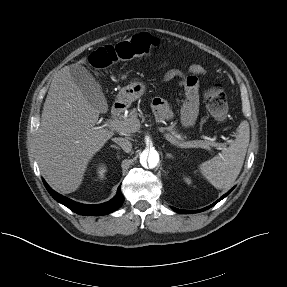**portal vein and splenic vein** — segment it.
<instances>
[{
  "label": "portal vein and splenic vein",
  "mask_w": 287,
  "mask_h": 287,
  "mask_svg": "<svg viewBox=\"0 0 287 287\" xmlns=\"http://www.w3.org/2000/svg\"><path fill=\"white\" fill-rule=\"evenodd\" d=\"M110 127H113L115 130L121 131L122 130V124L119 121L116 120H109L108 121ZM224 147V145H220L219 147ZM177 147L179 148H204V149H209V145L207 142L201 141V140H195V141H188L184 143L177 144Z\"/></svg>",
  "instance_id": "18ae733b"
}]
</instances>
